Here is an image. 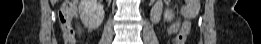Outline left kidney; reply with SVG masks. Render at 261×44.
<instances>
[{"mask_svg": "<svg viewBox=\"0 0 261 44\" xmlns=\"http://www.w3.org/2000/svg\"><path fill=\"white\" fill-rule=\"evenodd\" d=\"M165 16H166L167 21H171V20H173L175 15L172 10H169L165 13Z\"/></svg>", "mask_w": 261, "mask_h": 44, "instance_id": "left-kidney-1", "label": "left kidney"}]
</instances>
